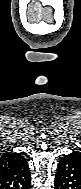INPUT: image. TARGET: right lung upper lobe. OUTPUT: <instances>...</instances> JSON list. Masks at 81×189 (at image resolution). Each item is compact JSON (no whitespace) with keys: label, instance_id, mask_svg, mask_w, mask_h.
<instances>
[{"label":"right lung upper lobe","instance_id":"right-lung-upper-lobe-1","mask_svg":"<svg viewBox=\"0 0 81 189\" xmlns=\"http://www.w3.org/2000/svg\"><path fill=\"white\" fill-rule=\"evenodd\" d=\"M24 160L25 159L19 153H5V155L0 158V173L13 168Z\"/></svg>","mask_w":81,"mask_h":189}]
</instances>
